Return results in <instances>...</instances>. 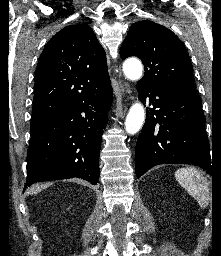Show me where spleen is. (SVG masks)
Returning <instances> with one entry per match:
<instances>
[{
	"instance_id": "1",
	"label": "spleen",
	"mask_w": 221,
	"mask_h": 256,
	"mask_svg": "<svg viewBox=\"0 0 221 256\" xmlns=\"http://www.w3.org/2000/svg\"><path fill=\"white\" fill-rule=\"evenodd\" d=\"M175 177L180 185L194 197L200 207L206 208L209 203L210 188L207 178L195 168L178 169Z\"/></svg>"
}]
</instances>
